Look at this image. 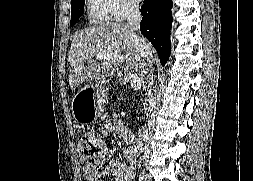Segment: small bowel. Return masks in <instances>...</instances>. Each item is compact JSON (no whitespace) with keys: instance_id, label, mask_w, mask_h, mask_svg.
Listing matches in <instances>:
<instances>
[{"instance_id":"obj_1","label":"small bowel","mask_w":253,"mask_h":181,"mask_svg":"<svg viewBox=\"0 0 253 181\" xmlns=\"http://www.w3.org/2000/svg\"><path fill=\"white\" fill-rule=\"evenodd\" d=\"M102 133L105 136L115 134L127 143H136L133 133L128 130L120 120L112 119L104 123ZM137 150L134 149L127 153L126 162L111 160L108 167L101 173L89 174L86 176L88 181H105L113 178L115 181H131L135 176Z\"/></svg>"}]
</instances>
